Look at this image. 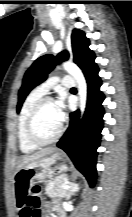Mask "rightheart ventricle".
Listing matches in <instances>:
<instances>
[{"mask_svg": "<svg viewBox=\"0 0 132 217\" xmlns=\"http://www.w3.org/2000/svg\"><path fill=\"white\" fill-rule=\"evenodd\" d=\"M44 93L38 90L37 88L32 90L24 100V103L21 108V112L18 119V130L17 137L20 150L23 153H32L37 150V146L32 144L26 135V123L29 117L30 112L33 107L37 104V102L44 97Z\"/></svg>", "mask_w": 132, "mask_h": 217, "instance_id": "right-heart-ventricle-1", "label": "right heart ventricle"}]
</instances>
